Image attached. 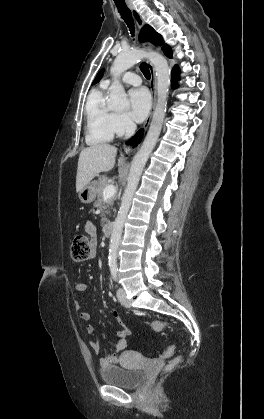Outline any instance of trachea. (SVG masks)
Returning <instances> with one entry per match:
<instances>
[{
    "mask_svg": "<svg viewBox=\"0 0 264 419\" xmlns=\"http://www.w3.org/2000/svg\"><path fill=\"white\" fill-rule=\"evenodd\" d=\"M116 7L118 9V12L120 13L121 17L123 18V20L125 21V23L127 24V26L129 27V30L132 34V36H134V22H133V18L131 15V11L129 10V8L126 6V4H118L116 3ZM140 69L142 71V73L144 74V76L147 79H150V71H149V66L147 63H142L140 66Z\"/></svg>",
    "mask_w": 264,
    "mask_h": 419,
    "instance_id": "1",
    "label": "trachea"
}]
</instances>
